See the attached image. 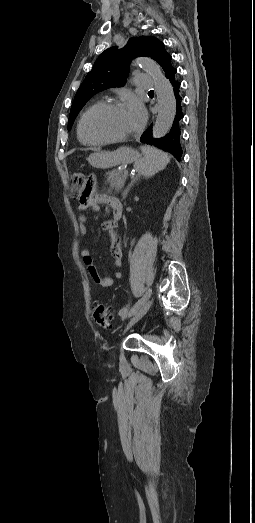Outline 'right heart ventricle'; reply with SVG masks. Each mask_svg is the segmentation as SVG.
Returning a JSON list of instances; mask_svg holds the SVG:
<instances>
[{
    "instance_id": "obj_1",
    "label": "right heart ventricle",
    "mask_w": 255,
    "mask_h": 523,
    "mask_svg": "<svg viewBox=\"0 0 255 523\" xmlns=\"http://www.w3.org/2000/svg\"><path fill=\"white\" fill-rule=\"evenodd\" d=\"M94 104H96V102L90 104V105L85 109V111H86L89 107H91L92 105H94ZM85 111H84V112H85ZM84 112H83V114H84ZM83 114H82V115H83ZM81 117H82V116H81ZM77 134H78V137H79L80 141H81L83 144H87V145H92V144H94V142H91V141L87 140V139L82 135V133H81V131H80V122H79V124H78Z\"/></svg>"
}]
</instances>
